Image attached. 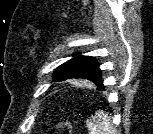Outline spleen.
Here are the masks:
<instances>
[{"label":"spleen","instance_id":"3e777b00","mask_svg":"<svg viewBox=\"0 0 153 134\" xmlns=\"http://www.w3.org/2000/svg\"><path fill=\"white\" fill-rule=\"evenodd\" d=\"M89 134H114L110 118L103 111H96L86 122Z\"/></svg>","mask_w":153,"mask_h":134}]
</instances>
